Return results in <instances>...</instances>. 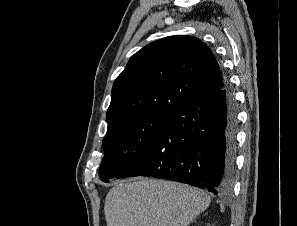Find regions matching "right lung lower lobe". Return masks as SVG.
I'll return each instance as SVG.
<instances>
[{
	"instance_id": "obj_1",
	"label": "right lung lower lobe",
	"mask_w": 297,
	"mask_h": 226,
	"mask_svg": "<svg viewBox=\"0 0 297 226\" xmlns=\"http://www.w3.org/2000/svg\"><path fill=\"white\" fill-rule=\"evenodd\" d=\"M237 108L228 81L178 106L168 124L116 178H164L207 189L230 190L235 172Z\"/></svg>"
}]
</instances>
